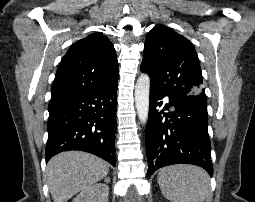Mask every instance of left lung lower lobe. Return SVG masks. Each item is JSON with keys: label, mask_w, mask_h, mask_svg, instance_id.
Segmentation results:
<instances>
[{"label": "left lung lower lobe", "mask_w": 255, "mask_h": 202, "mask_svg": "<svg viewBox=\"0 0 255 202\" xmlns=\"http://www.w3.org/2000/svg\"><path fill=\"white\" fill-rule=\"evenodd\" d=\"M165 96L169 103L162 110L157 109ZM172 106L175 111L164 112ZM146 149L149 177L161 167L178 163L200 166L212 176L207 104L150 87Z\"/></svg>", "instance_id": "1"}]
</instances>
